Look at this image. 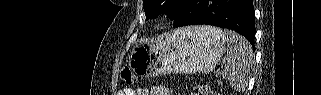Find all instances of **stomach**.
<instances>
[{
	"label": "stomach",
	"mask_w": 321,
	"mask_h": 95,
	"mask_svg": "<svg viewBox=\"0 0 321 95\" xmlns=\"http://www.w3.org/2000/svg\"><path fill=\"white\" fill-rule=\"evenodd\" d=\"M224 51L215 37L190 28L178 29L154 41L137 44L129 65L143 77L166 73H209Z\"/></svg>",
	"instance_id": "1"
}]
</instances>
